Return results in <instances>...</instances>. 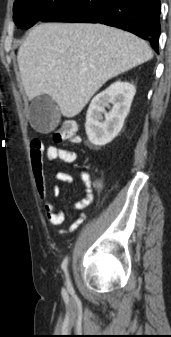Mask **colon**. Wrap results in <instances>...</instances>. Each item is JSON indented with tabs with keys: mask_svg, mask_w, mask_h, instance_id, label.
I'll return each mask as SVG.
<instances>
[{
	"mask_svg": "<svg viewBox=\"0 0 171 337\" xmlns=\"http://www.w3.org/2000/svg\"><path fill=\"white\" fill-rule=\"evenodd\" d=\"M51 137L55 142L78 143L80 141L77 125L72 120L65 121L58 129L52 132Z\"/></svg>",
	"mask_w": 171,
	"mask_h": 337,
	"instance_id": "obj_1",
	"label": "colon"
}]
</instances>
